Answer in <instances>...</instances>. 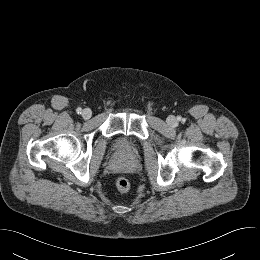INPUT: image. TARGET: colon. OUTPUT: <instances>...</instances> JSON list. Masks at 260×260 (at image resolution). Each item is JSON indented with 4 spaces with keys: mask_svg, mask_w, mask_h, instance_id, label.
Wrapping results in <instances>:
<instances>
[{
    "mask_svg": "<svg viewBox=\"0 0 260 260\" xmlns=\"http://www.w3.org/2000/svg\"><path fill=\"white\" fill-rule=\"evenodd\" d=\"M131 184L126 177H119L116 180V188L121 193H126L130 190Z\"/></svg>",
    "mask_w": 260,
    "mask_h": 260,
    "instance_id": "colon-1",
    "label": "colon"
}]
</instances>
